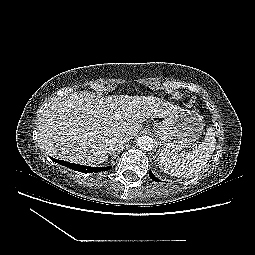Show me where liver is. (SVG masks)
I'll return each mask as SVG.
<instances>
[{"label":"liver","mask_w":255,"mask_h":255,"mask_svg":"<svg viewBox=\"0 0 255 255\" xmlns=\"http://www.w3.org/2000/svg\"><path fill=\"white\" fill-rule=\"evenodd\" d=\"M174 105L155 96H96L88 91L54 98L41 114L38 141L45 152L72 163L105 162L120 146L116 135L135 137L149 118H165Z\"/></svg>","instance_id":"6515ba94"}]
</instances>
